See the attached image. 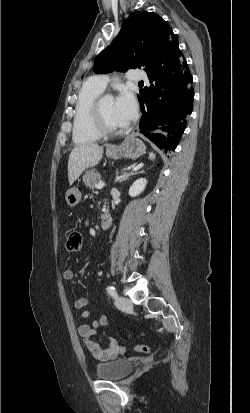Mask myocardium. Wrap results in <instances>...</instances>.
<instances>
[{
    "instance_id": "f54148a6",
    "label": "myocardium",
    "mask_w": 250,
    "mask_h": 413,
    "mask_svg": "<svg viewBox=\"0 0 250 413\" xmlns=\"http://www.w3.org/2000/svg\"><path fill=\"white\" fill-rule=\"evenodd\" d=\"M109 97L107 93H101L93 103V119L96 129L102 136L116 135L122 132V127H113L108 124L102 108V103L105 98Z\"/></svg>"
}]
</instances>
